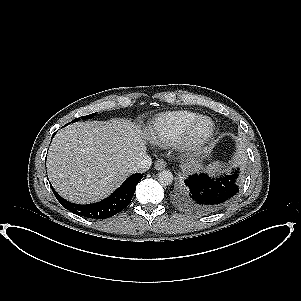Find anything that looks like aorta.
Returning <instances> with one entry per match:
<instances>
[{
  "label": "aorta",
  "mask_w": 301,
  "mask_h": 301,
  "mask_svg": "<svg viewBox=\"0 0 301 301\" xmlns=\"http://www.w3.org/2000/svg\"><path fill=\"white\" fill-rule=\"evenodd\" d=\"M158 181L161 185H170L173 182V174L168 170H162L158 173Z\"/></svg>",
  "instance_id": "obj_1"
}]
</instances>
